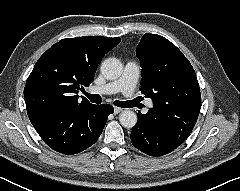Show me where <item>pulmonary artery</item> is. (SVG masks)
<instances>
[{
	"label": "pulmonary artery",
	"mask_w": 240,
	"mask_h": 191,
	"mask_svg": "<svg viewBox=\"0 0 240 191\" xmlns=\"http://www.w3.org/2000/svg\"><path fill=\"white\" fill-rule=\"evenodd\" d=\"M139 78V67L135 62H128L123 74L120 78L104 85L95 86L90 89L92 93L96 94H113L121 92L125 97H131L135 91V87ZM148 108H152L153 102L146 100L145 102Z\"/></svg>",
	"instance_id": "pulmonary-artery-1"
}]
</instances>
